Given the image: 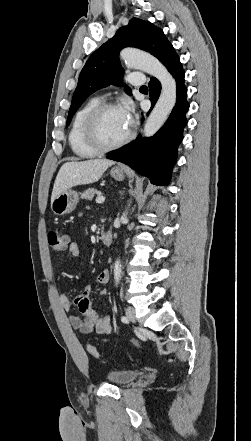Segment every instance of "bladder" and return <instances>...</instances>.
I'll return each instance as SVG.
<instances>
[{
	"mask_svg": "<svg viewBox=\"0 0 251 441\" xmlns=\"http://www.w3.org/2000/svg\"><path fill=\"white\" fill-rule=\"evenodd\" d=\"M139 376L135 370H113L106 374V379L115 385L123 386L133 382Z\"/></svg>",
	"mask_w": 251,
	"mask_h": 441,
	"instance_id": "1",
	"label": "bladder"
}]
</instances>
